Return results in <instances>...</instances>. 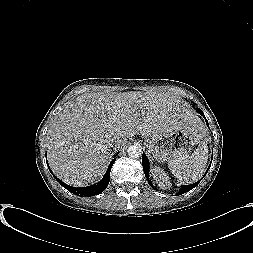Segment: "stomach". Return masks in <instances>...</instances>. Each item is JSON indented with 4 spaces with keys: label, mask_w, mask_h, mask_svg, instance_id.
<instances>
[{
    "label": "stomach",
    "mask_w": 253,
    "mask_h": 253,
    "mask_svg": "<svg viewBox=\"0 0 253 253\" xmlns=\"http://www.w3.org/2000/svg\"><path fill=\"white\" fill-rule=\"evenodd\" d=\"M144 137L150 153L158 162L185 156L203 138L201 132L192 131L187 126Z\"/></svg>",
    "instance_id": "0dacf381"
}]
</instances>
